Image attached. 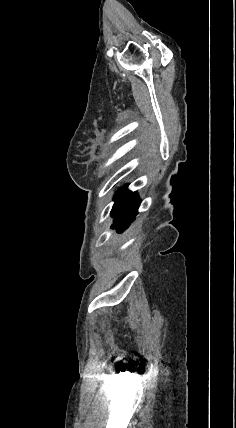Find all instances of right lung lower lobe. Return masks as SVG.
Listing matches in <instances>:
<instances>
[{
    "label": "right lung lower lobe",
    "mask_w": 236,
    "mask_h": 428,
    "mask_svg": "<svg viewBox=\"0 0 236 428\" xmlns=\"http://www.w3.org/2000/svg\"><path fill=\"white\" fill-rule=\"evenodd\" d=\"M114 199L115 204L111 213L115 219L112 228H116L117 231L121 232L134 220L140 205V200L136 192L127 190V186L120 189Z\"/></svg>",
    "instance_id": "right-lung-lower-lobe-1"
}]
</instances>
